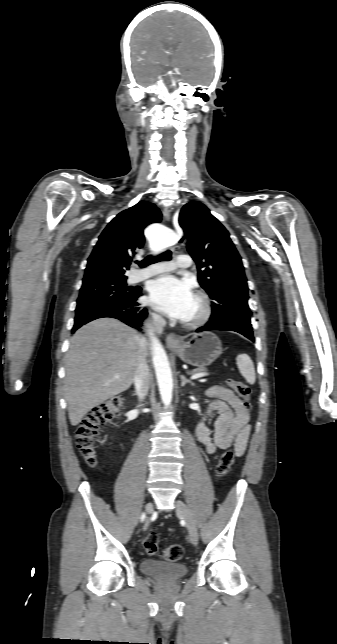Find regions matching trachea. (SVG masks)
<instances>
[{
	"instance_id": "3493384b",
	"label": "trachea",
	"mask_w": 337,
	"mask_h": 644,
	"mask_svg": "<svg viewBox=\"0 0 337 644\" xmlns=\"http://www.w3.org/2000/svg\"><path fill=\"white\" fill-rule=\"evenodd\" d=\"M171 255H172L171 251L168 250V251H166V252H164V253L156 256V257L148 256L144 260H142L140 262H137V263L139 264L140 267H145V266H147L149 264H152V263H155V262H158V261L170 260Z\"/></svg>"
}]
</instances>
